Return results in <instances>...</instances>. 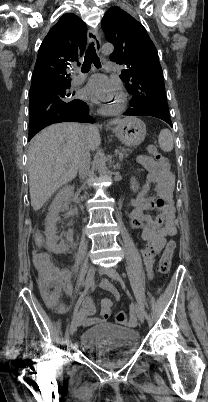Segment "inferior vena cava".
<instances>
[{"instance_id": "1", "label": "inferior vena cava", "mask_w": 208, "mask_h": 402, "mask_svg": "<svg viewBox=\"0 0 208 402\" xmlns=\"http://www.w3.org/2000/svg\"><path fill=\"white\" fill-rule=\"evenodd\" d=\"M88 126H82L81 132H87ZM77 162H78V170L79 176L82 180L91 176L92 172H90V148L87 140L85 138H81L79 144V150L77 152Z\"/></svg>"}]
</instances>
